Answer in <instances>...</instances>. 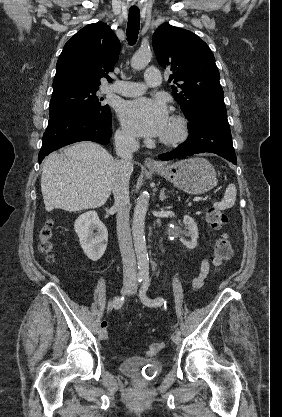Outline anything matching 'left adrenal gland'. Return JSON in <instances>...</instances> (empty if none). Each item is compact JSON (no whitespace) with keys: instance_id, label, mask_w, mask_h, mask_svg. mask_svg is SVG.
Returning <instances> with one entry per match:
<instances>
[{"instance_id":"a2214340","label":"left adrenal gland","mask_w":282,"mask_h":417,"mask_svg":"<svg viewBox=\"0 0 282 417\" xmlns=\"http://www.w3.org/2000/svg\"><path fill=\"white\" fill-rule=\"evenodd\" d=\"M165 190H166V188H161L160 196H159L160 200H165V198H168V196H166V194H165Z\"/></svg>"}]
</instances>
